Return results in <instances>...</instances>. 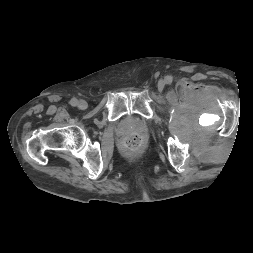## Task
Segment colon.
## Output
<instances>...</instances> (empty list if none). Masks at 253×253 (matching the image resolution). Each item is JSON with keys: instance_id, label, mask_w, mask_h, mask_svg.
I'll return each mask as SVG.
<instances>
[{"instance_id": "1", "label": "colon", "mask_w": 253, "mask_h": 253, "mask_svg": "<svg viewBox=\"0 0 253 253\" xmlns=\"http://www.w3.org/2000/svg\"><path fill=\"white\" fill-rule=\"evenodd\" d=\"M122 145L130 154H136L142 146V138L138 134H132L123 140Z\"/></svg>"}]
</instances>
